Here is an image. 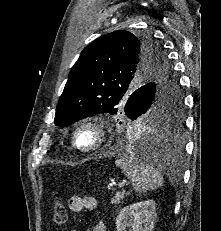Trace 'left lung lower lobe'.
Here are the masks:
<instances>
[{
	"instance_id": "obj_1",
	"label": "left lung lower lobe",
	"mask_w": 221,
	"mask_h": 231,
	"mask_svg": "<svg viewBox=\"0 0 221 231\" xmlns=\"http://www.w3.org/2000/svg\"><path fill=\"white\" fill-rule=\"evenodd\" d=\"M138 93H135L131 99L132 107L136 106L139 98ZM180 96L182 98L181 92ZM137 98V99H136ZM131 120H135L137 116L129 117ZM183 122L181 121L177 125H171V135L167 138H163L155 129H159L160 126L156 123L153 124L154 130L149 128L143 130H128L121 135L122 142L128 141L136 145L146 154V160L152 164H160L165 166L168 163L175 162L180 156L183 148L182 140L180 137V129Z\"/></svg>"
}]
</instances>
